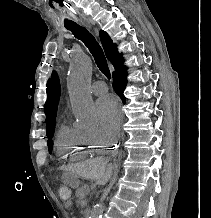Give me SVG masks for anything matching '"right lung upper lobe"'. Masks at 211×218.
Here are the masks:
<instances>
[{
  "label": "right lung upper lobe",
  "instance_id": "right-lung-upper-lobe-1",
  "mask_svg": "<svg viewBox=\"0 0 211 218\" xmlns=\"http://www.w3.org/2000/svg\"><path fill=\"white\" fill-rule=\"evenodd\" d=\"M100 39L104 48L107 59L112 62L113 65L122 60L121 54L118 53L116 45L113 44L108 34L104 31H100ZM60 83L59 78L55 72L52 75L51 92L48 96V114L46 120L47 136L54 132L57 107L60 98Z\"/></svg>",
  "mask_w": 211,
  "mask_h": 218
}]
</instances>
